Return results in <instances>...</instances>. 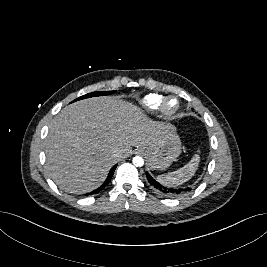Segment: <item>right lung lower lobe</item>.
Returning a JSON list of instances; mask_svg holds the SVG:
<instances>
[{
    "label": "right lung lower lobe",
    "instance_id": "obj_1",
    "mask_svg": "<svg viewBox=\"0 0 267 267\" xmlns=\"http://www.w3.org/2000/svg\"><path fill=\"white\" fill-rule=\"evenodd\" d=\"M116 167H117V164L114 165V166L110 169L109 174H108V177H107V179L105 180V182H104L99 188H97L96 190L92 191V192L89 193V194H97V193H99L104 187H106V186L108 185V183L110 182V180H111V178H112V176H113V174H114V171H115ZM86 195H88V194H86Z\"/></svg>",
    "mask_w": 267,
    "mask_h": 267
}]
</instances>
